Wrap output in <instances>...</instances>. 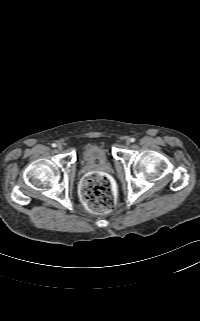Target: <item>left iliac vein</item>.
<instances>
[{
	"label": "left iliac vein",
	"mask_w": 200,
	"mask_h": 321,
	"mask_svg": "<svg viewBox=\"0 0 200 321\" xmlns=\"http://www.w3.org/2000/svg\"><path fill=\"white\" fill-rule=\"evenodd\" d=\"M131 143V140L128 138L126 139V144L129 145Z\"/></svg>",
	"instance_id": "4c4485c4"
}]
</instances>
